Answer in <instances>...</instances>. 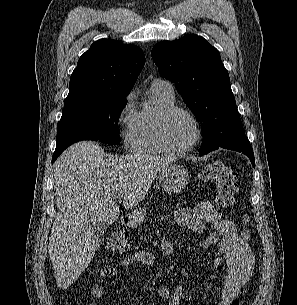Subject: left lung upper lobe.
Returning <instances> with one entry per match:
<instances>
[{"instance_id":"obj_1","label":"left lung upper lobe","mask_w":297,"mask_h":305,"mask_svg":"<svg viewBox=\"0 0 297 305\" xmlns=\"http://www.w3.org/2000/svg\"><path fill=\"white\" fill-rule=\"evenodd\" d=\"M151 55L160 74L175 83L184 102L202 123L200 152L248 140L228 72L216 48L200 36L186 35L157 43Z\"/></svg>"}]
</instances>
